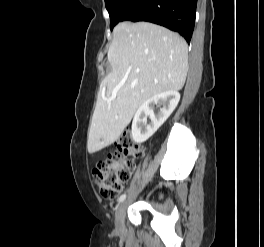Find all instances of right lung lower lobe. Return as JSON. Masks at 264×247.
<instances>
[{"label": "right lung lower lobe", "mask_w": 264, "mask_h": 247, "mask_svg": "<svg viewBox=\"0 0 264 247\" xmlns=\"http://www.w3.org/2000/svg\"><path fill=\"white\" fill-rule=\"evenodd\" d=\"M197 0H132L119 17L121 21H147L178 32L191 40Z\"/></svg>", "instance_id": "obj_1"}]
</instances>
